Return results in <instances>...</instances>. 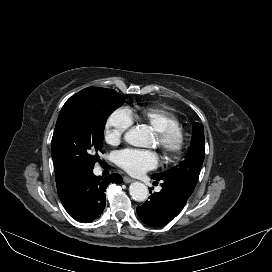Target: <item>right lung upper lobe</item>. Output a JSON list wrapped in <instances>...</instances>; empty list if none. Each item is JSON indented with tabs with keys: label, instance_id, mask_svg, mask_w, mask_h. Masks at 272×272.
I'll return each mask as SVG.
<instances>
[{
	"label": "right lung upper lobe",
	"instance_id": "1",
	"mask_svg": "<svg viewBox=\"0 0 272 272\" xmlns=\"http://www.w3.org/2000/svg\"><path fill=\"white\" fill-rule=\"evenodd\" d=\"M53 163L55 169L58 195L60 198H62L70 190V188L79 180L80 177L68 176L65 167L61 163L57 161H53Z\"/></svg>",
	"mask_w": 272,
	"mask_h": 272
}]
</instances>
